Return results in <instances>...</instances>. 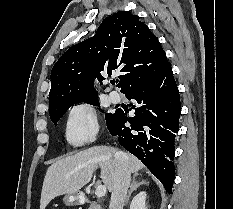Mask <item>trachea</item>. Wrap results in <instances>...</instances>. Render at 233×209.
Returning <instances> with one entry per match:
<instances>
[{"mask_svg": "<svg viewBox=\"0 0 233 209\" xmlns=\"http://www.w3.org/2000/svg\"><path fill=\"white\" fill-rule=\"evenodd\" d=\"M117 82H118V81H115V80H114V81H112V84H115V83H117Z\"/></svg>", "mask_w": 233, "mask_h": 209, "instance_id": "3493384b", "label": "trachea"}]
</instances>
